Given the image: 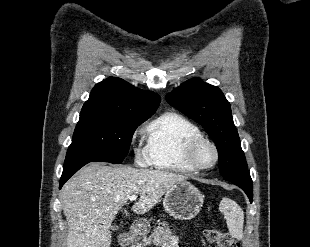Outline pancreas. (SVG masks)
Returning <instances> with one entry per match:
<instances>
[{"label": "pancreas", "mask_w": 310, "mask_h": 247, "mask_svg": "<svg viewBox=\"0 0 310 247\" xmlns=\"http://www.w3.org/2000/svg\"><path fill=\"white\" fill-rule=\"evenodd\" d=\"M152 243L161 247H178L179 237L174 236L169 228L159 226L154 228L151 235L145 237L143 243H139L137 247H147Z\"/></svg>", "instance_id": "pancreas-1"}]
</instances>
